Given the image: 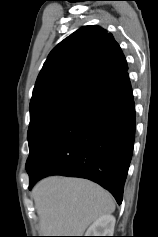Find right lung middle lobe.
Listing matches in <instances>:
<instances>
[{
  "label": "right lung middle lobe",
  "instance_id": "right-lung-middle-lobe-1",
  "mask_svg": "<svg viewBox=\"0 0 158 237\" xmlns=\"http://www.w3.org/2000/svg\"><path fill=\"white\" fill-rule=\"evenodd\" d=\"M83 102L73 97L60 96L49 98L30 106V124L28 129L30 154L26 162V168L46 136Z\"/></svg>",
  "mask_w": 158,
  "mask_h": 237
}]
</instances>
